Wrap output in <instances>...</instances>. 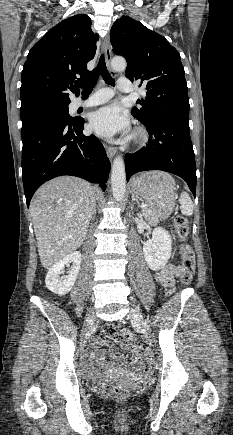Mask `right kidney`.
Listing matches in <instances>:
<instances>
[{
  "label": "right kidney",
  "mask_w": 233,
  "mask_h": 435,
  "mask_svg": "<svg viewBox=\"0 0 233 435\" xmlns=\"http://www.w3.org/2000/svg\"><path fill=\"white\" fill-rule=\"evenodd\" d=\"M70 263H72V266L69 274L66 276H60L63 273V269L65 268V266L70 265ZM80 263V252H72L71 254L57 262L46 275V287L56 294H67L72 289L77 279L80 269Z\"/></svg>",
  "instance_id": "right-kidney-1"
}]
</instances>
